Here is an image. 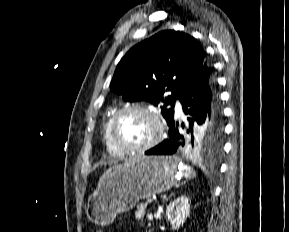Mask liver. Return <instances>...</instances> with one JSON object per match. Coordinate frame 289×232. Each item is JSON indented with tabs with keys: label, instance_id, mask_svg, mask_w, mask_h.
<instances>
[{
	"label": "liver",
	"instance_id": "liver-1",
	"mask_svg": "<svg viewBox=\"0 0 289 232\" xmlns=\"http://www.w3.org/2000/svg\"><path fill=\"white\" fill-rule=\"evenodd\" d=\"M122 167V165L119 166H115L111 169H108L105 173H103V175L100 177L99 182H98V188L101 187L104 183V181L107 179V177L111 174V172L113 171V169Z\"/></svg>",
	"mask_w": 289,
	"mask_h": 232
}]
</instances>
